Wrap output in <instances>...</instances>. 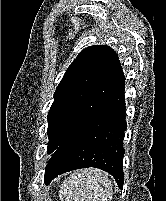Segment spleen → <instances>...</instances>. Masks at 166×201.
<instances>
[{"instance_id":"1","label":"spleen","mask_w":166,"mask_h":201,"mask_svg":"<svg viewBox=\"0 0 166 201\" xmlns=\"http://www.w3.org/2000/svg\"><path fill=\"white\" fill-rule=\"evenodd\" d=\"M112 185L108 176L98 169L73 172L59 190L61 201H111Z\"/></svg>"}]
</instances>
